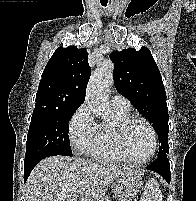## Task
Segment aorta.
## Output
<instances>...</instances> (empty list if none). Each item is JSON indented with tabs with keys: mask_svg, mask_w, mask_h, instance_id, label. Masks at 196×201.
<instances>
[{
	"mask_svg": "<svg viewBox=\"0 0 196 201\" xmlns=\"http://www.w3.org/2000/svg\"><path fill=\"white\" fill-rule=\"evenodd\" d=\"M113 70L111 60L102 61L92 74L86 90V102L96 116L104 119L111 115L109 92L113 83Z\"/></svg>",
	"mask_w": 196,
	"mask_h": 201,
	"instance_id": "1",
	"label": "aorta"
}]
</instances>
